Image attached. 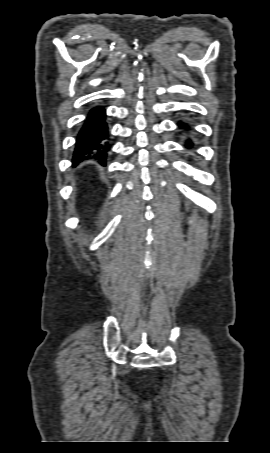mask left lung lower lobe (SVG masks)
Instances as JSON below:
<instances>
[{"instance_id": "0a47b994", "label": "left lung lower lobe", "mask_w": 270, "mask_h": 453, "mask_svg": "<svg viewBox=\"0 0 270 453\" xmlns=\"http://www.w3.org/2000/svg\"><path fill=\"white\" fill-rule=\"evenodd\" d=\"M178 126H179L181 129H183V131H185V132H189V131L191 130L190 127H189V125H188L187 123H185V122H182V121H179V122H178ZM192 146H193V144L191 143V140L188 139V140H187V143H186V147H187V148H191Z\"/></svg>"}]
</instances>
